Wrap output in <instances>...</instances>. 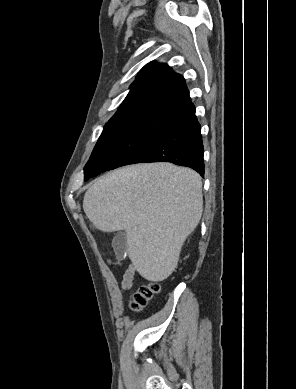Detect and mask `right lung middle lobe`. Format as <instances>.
<instances>
[{
  "mask_svg": "<svg viewBox=\"0 0 296 389\" xmlns=\"http://www.w3.org/2000/svg\"><path fill=\"white\" fill-rule=\"evenodd\" d=\"M178 120L144 114L122 120H109L86 167L101 172L128 164L141 163L151 147Z\"/></svg>",
  "mask_w": 296,
  "mask_h": 389,
  "instance_id": "right-lung-middle-lobe-1",
  "label": "right lung middle lobe"
}]
</instances>
